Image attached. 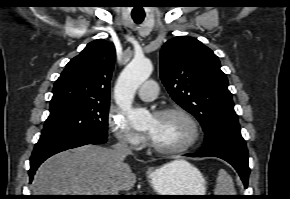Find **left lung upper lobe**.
I'll return each instance as SVG.
<instances>
[{"mask_svg":"<svg viewBox=\"0 0 290 199\" xmlns=\"http://www.w3.org/2000/svg\"><path fill=\"white\" fill-rule=\"evenodd\" d=\"M218 57L193 37L177 36L160 52V76L170 96L194 115L205 144L222 135H241L228 80Z\"/></svg>","mask_w":290,"mask_h":199,"instance_id":"1","label":"left lung upper lobe"}]
</instances>
